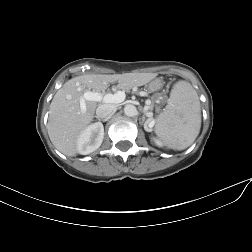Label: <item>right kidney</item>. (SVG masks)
<instances>
[{
  "mask_svg": "<svg viewBox=\"0 0 252 252\" xmlns=\"http://www.w3.org/2000/svg\"><path fill=\"white\" fill-rule=\"evenodd\" d=\"M104 138V127L101 122L89 125L77 140V152L87 155L97 150Z\"/></svg>",
  "mask_w": 252,
  "mask_h": 252,
  "instance_id": "1",
  "label": "right kidney"
}]
</instances>
